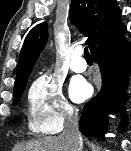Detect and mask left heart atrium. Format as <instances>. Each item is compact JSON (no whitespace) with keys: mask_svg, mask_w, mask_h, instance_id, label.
<instances>
[{"mask_svg":"<svg viewBox=\"0 0 131 151\" xmlns=\"http://www.w3.org/2000/svg\"><path fill=\"white\" fill-rule=\"evenodd\" d=\"M70 96L75 102H81L90 95V87L83 79H75L70 84Z\"/></svg>","mask_w":131,"mask_h":151,"instance_id":"left-heart-atrium-1","label":"left heart atrium"}]
</instances>
